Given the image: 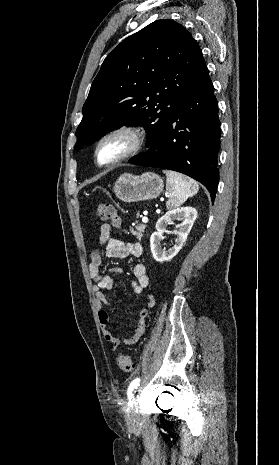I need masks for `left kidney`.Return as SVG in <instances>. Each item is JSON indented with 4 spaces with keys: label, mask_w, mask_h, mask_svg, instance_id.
Segmentation results:
<instances>
[{
    "label": "left kidney",
    "mask_w": 279,
    "mask_h": 465,
    "mask_svg": "<svg viewBox=\"0 0 279 465\" xmlns=\"http://www.w3.org/2000/svg\"><path fill=\"white\" fill-rule=\"evenodd\" d=\"M197 218V210L193 207H181L169 210L164 214L156 223V232L152 233L150 237V247L153 258L158 262H168L175 257L181 250L182 246L187 240V236ZM173 220L180 221L174 233L177 235L175 244L170 249H161V240L163 233L168 224Z\"/></svg>",
    "instance_id": "1"
}]
</instances>
